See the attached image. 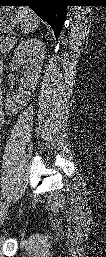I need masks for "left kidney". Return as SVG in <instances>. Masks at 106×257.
Returning a JSON list of instances; mask_svg holds the SVG:
<instances>
[{"label": "left kidney", "mask_w": 106, "mask_h": 257, "mask_svg": "<svg viewBox=\"0 0 106 257\" xmlns=\"http://www.w3.org/2000/svg\"><path fill=\"white\" fill-rule=\"evenodd\" d=\"M44 55V44L36 38L23 40L17 46L13 54L10 69L17 70L23 67L24 77L20 79L22 86L19 88V93L17 95L7 96V110L17 112L16 103H22V100L34 88L41 72Z\"/></svg>", "instance_id": "obj_1"}]
</instances>
